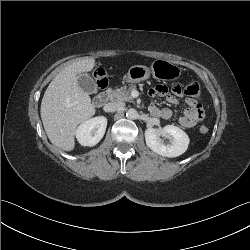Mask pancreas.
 I'll return each mask as SVG.
<instances>
[{"label": "pancreas", "instance_id": "pancreas-1", "mask_svg": "<svg viewBox=\"0 0 250 250\" xmlns=\"http://www.w3.org/2000/svg\"><path fill=\"white\" fill-rule=\"evenodd\" d=\"M135 89V85H131L128 88L124 86L119 89L111 90L109 92V97L112 101L116 102H133V98L131 97V91Z\"/></svg>", "mask_w": 250, "mask_h": 250}]
</instances>
